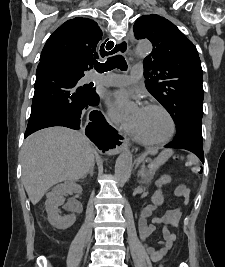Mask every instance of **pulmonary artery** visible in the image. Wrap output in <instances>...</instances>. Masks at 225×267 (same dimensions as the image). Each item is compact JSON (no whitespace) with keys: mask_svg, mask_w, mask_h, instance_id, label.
Returning <instances> with one entry per match:
<instances>
[{"mask_svg":"<svg viewBox=\"0 0 225 267\" xmlns=\"http://www.w3.org/2000/svg\"><path fill=\"white\" fill-rule=\"evenodd\" d=\"M143 77V66L135 64L130 75L107 73L105 75L94 74L91 81L105 86H127L139 81Z\"/></svg>","mask_w":225,"mask_h":267,"instance_id":"1","label":"pulmonary artery"}]
</instances>
